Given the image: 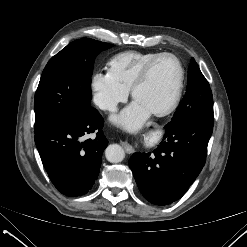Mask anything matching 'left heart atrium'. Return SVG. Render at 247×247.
I'll use <instances>...</instances> for the list:
<instances>
[{
  "instance_id": "1",
  "label": "left heart atrium",
  "mask_w": 247,
  "mask_h": 247,
  "mask_svg": "<svg viewBox=\"0 0 247 247\" xmlns=\"http://www.w3.org/2000/svg\"><path fill=\"white\" fill-rule=\"evenodd\" d=\"M150 113L151 111L135 100L119 114L112 116L111 120L118 126L134 130L143 124Z\"/></svg>"
}]
</instances>
